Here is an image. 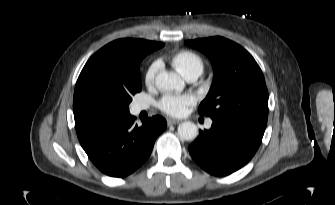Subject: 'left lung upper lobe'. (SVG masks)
Wrapping results in <instances>:
<instances>
[{
  "instance_id": "obj_1",
  "label": "left lung upper lobe",
  "mask_w": 335,
  "mask_h": 205,
  "mask_svg": "<svg viewBox=\"0 0 335 205\" xmlns=\"http://www.w3.org/2000/svg\"><path fill=\"white\" fill-rule=\"evenodd\" d=\"M210 59L214 78L200 104V115L230 117L266 128L268 90L263 73L248 51L223 37L185 42Z\"/></svg>"
}]
</instances>
